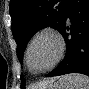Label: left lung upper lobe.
<instances>
[{
  "mask_svg": "<svg viewBox=\"0 0 89 89\" xmlns=\"http://www.w3.org/2000/svg\"><path fill=\"white\" fill-rule=\"evenodd\" d=\"M70 0H10L12 33L17 43V55L23 62V53L30 38L44 27L60 32ZM26 85L21 77V88Z\"/></svg>",
  "mask_w": 89,
  "mask_h": 89,
  "instance_id": "obj_1",
  "label": "left lung upper lobe"
}]
</instances>
